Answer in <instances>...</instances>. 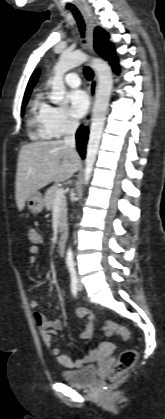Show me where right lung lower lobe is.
I'll list each match as a JSON object with an SVG mask.
<instances>
[{
	"label": "right lung lower lobe",
	"instance_id": "1",
	"mask_svg": "<svg viewBox=\"0 0 165 419\" xmlns=\"http://www.w3.org/2000/svg\"><path fill=\"white\" fill-rule=\"evenodd\" d=\"M88 139V129L85 127H80L76 134V140H77V149L80 153L81 157H85V147Z\"/></svg>",
	"mask_w": 165,
	"mask_h": 419
}]
</instances>
